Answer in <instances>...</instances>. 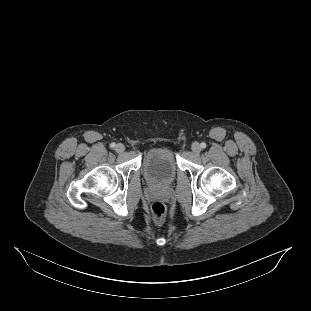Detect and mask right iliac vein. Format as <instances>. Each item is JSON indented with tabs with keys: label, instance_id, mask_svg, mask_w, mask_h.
<instances>
[{
	"label": "right iliac vein",
	"instance_id": "right-iliac-vein-1",
	"mask_svg": "<svg viewBox=\"0 0 311 311\" xmlns=\"http://www.w3.org/2000/svg\"><path fill=\"white\" fill-rule=\"evenodd\" d=\"M116 152L118 153H122L124 150H125V147L123 144L119 143L116 145V148H115Z\"/></svg>",
	"mask_w": 311,
	"mask_h": 311
}]
</instances>
